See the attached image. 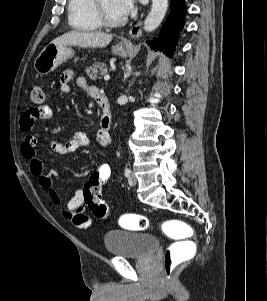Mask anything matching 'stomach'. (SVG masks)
Masks as SVG:
<instances>
[{
    "mask_svg": "<svg viewBox=\"0 0 267 301\" xmlns=\"http://www.w3.org/2000/svg\"><path fill=\"white\" fill-rule=\"evenodd\" d=\"M129 48L118 44L112 48L115 55L126 57ZM74 56V50L70 45L52 44L47 45L38 55L34 62V68L40 75H46L54 71L60 64Z\"/></svg>",
    "mask_w": 267,
    "mask_h": 301,
    "instance_id": "stomach-1",
    "label": "stomach"
}]
</instances>
